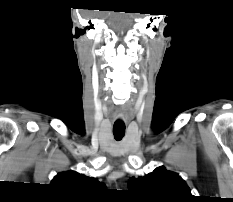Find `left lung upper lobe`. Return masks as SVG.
Returning a JSON list of instances; mask_svg holds the SVG:
<instances>
[{"label":"left lung upper lobe","instance_id":"left-lung-upper-lobe-1","mask_svg":"<svg viewBox=\"0 0 233 202\" xmlns=\"http://www.w3.org/2000/svg\"><path fill=\"white\" fill-rule=\"evenodd\" d=\"M128 187L147 202H188L193 197L185 181L163 166L145 177L130 178Z\"/></svg>","mask_w":233,"mask_h":202}]
</instances>
